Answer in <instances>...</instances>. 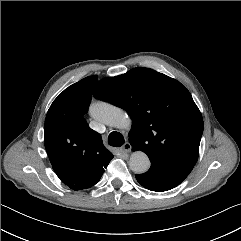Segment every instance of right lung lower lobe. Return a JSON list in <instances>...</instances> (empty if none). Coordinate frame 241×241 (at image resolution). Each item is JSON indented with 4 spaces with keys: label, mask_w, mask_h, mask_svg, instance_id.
<instances>
[{
    "label": "right lung lower lobe",
    "mask_w": 241,
    "mask_h": 241,
    "mask_svg": "<svg viewBox=\"0 0 241 241\" xmlns=\"http://www.w3.org/2000/svg\"><path fill=\"white\" fill-rule=\"evenodd\" d=\"M53 170L59 179L73 190H82L95 185L104 173L103 170L74 165H54Z\"/></svg>",
    "instance_id": "obj_1"
}]
</instances>
